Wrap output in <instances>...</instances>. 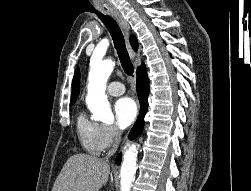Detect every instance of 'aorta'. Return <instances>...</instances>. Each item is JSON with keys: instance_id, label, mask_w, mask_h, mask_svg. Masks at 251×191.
Wrapping results in <instances>:
<instances>
[{"instance_id": "762f6f07", "label": "aorta", "mask_w": 251, "mask_h": 191, "mask_svg": "<svg viewBox=\"0 0 251 191\" xmlns=\"http://www.w3.org/2000/svg\"><path fill=\"white\" fill-rule=\"evenodd\" d=\"M90 68L86 103L90 111H92L94 119H97V121L98 119L99 121H111L114 115L107 96H105V90L107 80L113 72L114 62L112 60H102V58L93 54L90 60ZM136 151V145H129L123 155L120 169L121 191H130L132 181L135 179L137 165Z\"/></svg>"}]
</instances>
